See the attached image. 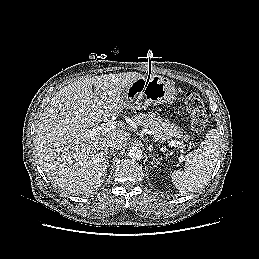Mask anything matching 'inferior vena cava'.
I'll return each mask as SVG.
<instances>
[{
  "instance_id": "602c4592",
  "label": "inferior vena cava",
  "mask_w": 259,
  "mask_h": 259,
  "mask_svg": "<svg viewBox=\"0 0 259 259\" xmlns=\"http://www.w3.org/2000/svg\"><path fill=\"white\" fill-rule=\"evenodd\" d=\"M107 146L108 148H110L111 151L119 150L123 146V141L118 138H112L108 140Z\"/></svg>"
}]
</instances>
